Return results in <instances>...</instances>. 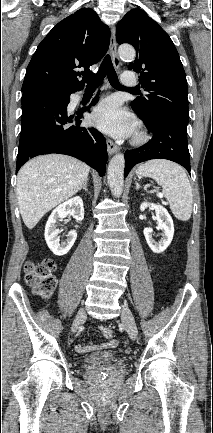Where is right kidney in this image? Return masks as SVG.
Masks as SVG:
<instances>
[{
	"mask_svg": "<svg viewBox=\"0 0 213 433\" xmlns=\"http://www.w3.org/2000/svg\"><path fill=\"white\" fill-rule=\"evenodd\" d=\"M73 216L77 221H82L84 218L83 201L79 196L71 198L58 207H56L48 218L45 226V240L49 249L57 256H63L69 252L77 238V232L72 230L68 233L67 239L63 243H59V229L56 228V223L67 217Z\"/></svg>",
	"mask_w": 213,
	"mask_h": 433,
	"instance_id": "right-kidney-1",
	"label": "right kidney"
}]
</instances>
